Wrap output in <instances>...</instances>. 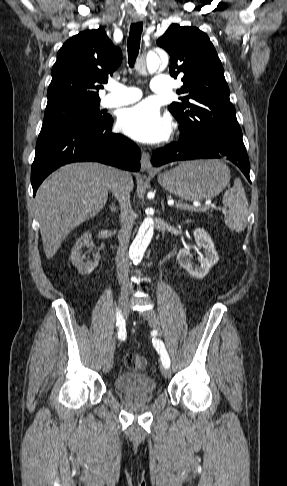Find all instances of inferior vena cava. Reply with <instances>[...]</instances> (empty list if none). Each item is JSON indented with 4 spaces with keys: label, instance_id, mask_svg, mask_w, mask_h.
<instances>
[{
    "label": "inferior vena cava",
    "instance_id": "inferior-vena-cava-1",
    "mask_svg": "<svg viewBox=\"0 0 287 486\" xmlns=\"http://www.w3.org/2000/svg\"><path fill=\"white\" fill-rule=\"evenodd\" d=\"M110 190L120 204L121 228L118 233L119 245L116 253L117 276L122 289L132 290L129 282L128 245L134 222V212L130 203V189L125 182V173L115 170Z\"/></svg>",
    "mask_w": 287,
    "mask_h": 486
}]
</instances>
